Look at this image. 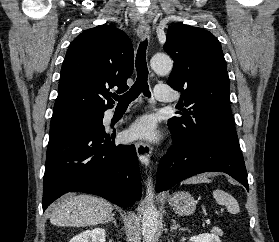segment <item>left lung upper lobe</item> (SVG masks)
Masks as SVG:
<instances>
[{
  "label": "left lung upper lobe",
  "mask_w": 279,
  "mask_h": 242,
  "mask_svg": "<svg viewBox=\"0 0 279 242\" xmlns=\"http://www.w3.org/2000/svg\"><path fill=\"white\" fill-rule=\"evenodd\" d=\"M164 50L174 60L167 83L181 92L182 112L168 120L170 130L185 146L211 142L240 150L218 39L202 28L175 25L167 32Z\"/></svg>",
  "instance_id": "1"
}]
</instances>
